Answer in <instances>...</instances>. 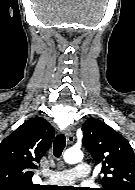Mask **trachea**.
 Returning a JSON list of instances; mask_svg holds the SVG:
<instances>
[{"label": "trachea", "mask_w": 135, "mask_h": 190, "mask_svg": "<svg viewBox=\"0 0 135 190\" xmlns=\"http://www.w3.org/2000/svg\"><path fill=\"white\" fill-rule=\"evenodd\" d=\"M66 145L64 134L57 135L54 141L53 151L56 158H60Z\"/></svg>", "instance_id": "trachea-1"}]
</instances>
